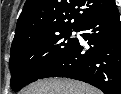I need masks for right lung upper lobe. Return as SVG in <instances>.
Returning <instances> with one entry per match:
<instances>
[{"instance_id":"obj_1","label":"right lung upper lobe","mask_w":121,"mask_h":94,"mask_svg":"<svg viewBox=\"0 0 121 94\" xmlns=\"http://www.w3.org/2000/svg\"><path fill=\"white\" fill-rule=\"evenodd\" d=\"M114 2V0H26L17 21L12 45L32 32L53 33L64 29H78L83 21L107 10Z\"/></svg>"}]
</instances>
